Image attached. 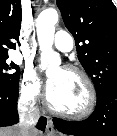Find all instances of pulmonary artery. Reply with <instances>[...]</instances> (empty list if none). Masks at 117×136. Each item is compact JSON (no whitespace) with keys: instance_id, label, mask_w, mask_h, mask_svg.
Wrapping results in <instances>:
<instances>
[{"instance_id":"1","label":"pulmonary artery","mask_w":117,"mask_h":136,"mask_svg":"<svg viewBox=\"0 0 117 136\" xmlns=\"http://www.w3.org/2000/svg\"><path fill=\"white\" fill-rule=\"evenodd\" d=\"M54 46L61 52H69L73 48V37L65 31H58L55 34Z\"/></svg>"}]
</instances>
